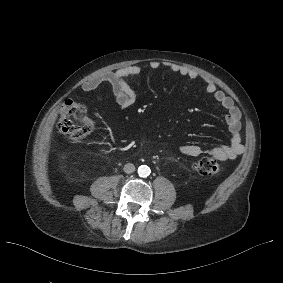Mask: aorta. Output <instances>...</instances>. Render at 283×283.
<instances>
[{
  "instance_id": "762f6f07",
  "label": "aorta",
  "mask_w": 283,
  "mask_h": 283,
  "mask_svg": "<svg viewBox=\"0 0 283 283\" xmlns=\"http://www.w3.org/2000/svg\"><path fill=\"white\" fill-rule=\"evenodd\" d=\"M151 173L150 168L147 165H141L138 168V174L140 177H147Z\"/></svg>"
}]
</instances>
